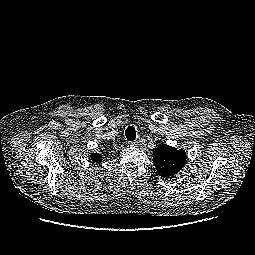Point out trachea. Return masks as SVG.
<instances>
[{"label":"trachea","mask_w":255,"mask_h":255,"mask_svg":"<svg viewBox=\"0 0 255 255\" xmlns=\"http://www.w3.org/2000/svg\"><path fill=\"white\" fill-rule=\"evenodd\" d=\"M125 135L128 141H134L136 138V130L133 126H129L126 131Z\"/></svg>","instance_id":"trachea-1"}]
</instances>
